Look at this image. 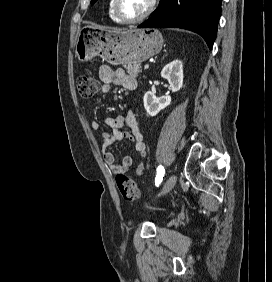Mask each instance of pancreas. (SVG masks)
Returning a JSON list of instances; mask_svg holds the SVG:
<instances>
[{"instance_id":"1","label":"pancreas","mask_w":272,"mask_h":282,"mask_svg":"<svg viewBox=\"0 0 272 282\" xmlns=\"http://www.w3.org/2000/svg\"><path fill=\"white\" fill-rule=\"evenodd\" d=\"M125 69L127 73L133 78L138 77V75L141 73V67L139 64H135V65L129 64L128 66H125Z\"/></svg>"}]
</instances>
